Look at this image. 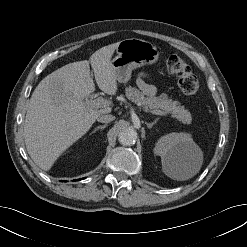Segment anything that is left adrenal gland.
Instances as JSON below:
<instances>
[{
	"label": "left adrenal gland",
	"mask_w": 247,
	"mask_h": 247,
	"mask_svg": "<svg viewBox=\"0 0 247 247\" xmlns=\"http://www.w3.org/2000/svg\"><path fill=\"white\" fill-rule=\"evenodd\" d=\"M158 119L154 120L152 123H146L148 128H152L154 124H156Z\"/></svg>",
	"instance_id": "obj_1"
}]
</instances>
